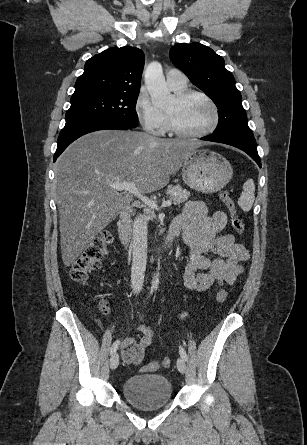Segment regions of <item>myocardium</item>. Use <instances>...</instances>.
<instances>
[{"instance_id":"f54148a6","label":"myocardium","mask_w":307,"mask_h":445,"mask_svg":"<svg viewBox=\"0 0 307 445\" xmlns=\"http://www.w3.org/2000/svg\"><path fill=\"white\" fill-rule=\"evenodd\" d=\"M173 96L178 101H186L193 97H198V98L202 99L203 101H205L206 103H208L211 106L213 113H214V120H213L212 125L209 128H207L206 130H203V131L197 132V133H191V132L184 131L180 127H178L174 123L172 118L167 113L164 112L166 127H167L168 131L177 136V137H169L167 139H203V138L207 137L208 135L214 133L219 128L221 121H222V114H221L220 107L207 94H205L203 92L196 91V90H182L180 92L175 93Z\"/></svg>"}]
</instances>
